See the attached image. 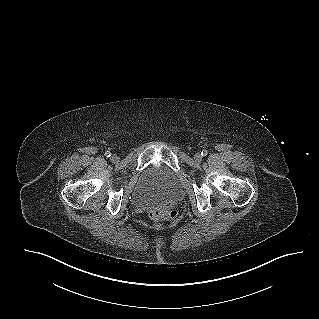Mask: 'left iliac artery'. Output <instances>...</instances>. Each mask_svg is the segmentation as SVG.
<instances>
[{"instance_id": "44dca946", "label": "left iliac artery", "mask_w": 319, "mask_h": 319, "mask_svg": "<svg viewBox=\"0 0 319 319\" xmlns=\"http://www.w3.org/2000/svg\"><path fill=\"white\" fill-rule=\"evenodd\" d=\"M208 154V152L206 150H202L201 155L202 156H206Z\"/></svg>"}]
</instances>
